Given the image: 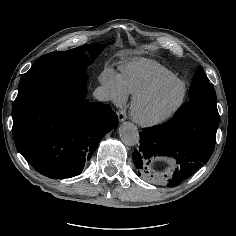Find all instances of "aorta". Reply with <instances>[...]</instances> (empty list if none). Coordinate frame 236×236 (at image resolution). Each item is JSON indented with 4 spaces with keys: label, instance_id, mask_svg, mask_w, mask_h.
Segmentation results:
<instances>
[{
    "label": "aorta",
    "instance_id": "762f6f07",
    "mask_svg": "<svg viewBox=\"0 0 236 236\" xmlns=\"http://www.w3.org/2000/svg\"><path fill=\"white\" fill-rule=\"evenodd\" d=\"M119 135L122 142L127 146H135L139 142L137 127L131 122H124L119 127Z\"/></svg>",
    "mask_w": 236,
    "mask_h": 236
}]
</instances>
